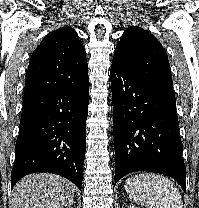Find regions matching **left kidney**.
I'll list each match as a JSON object with an SVG mask.
<instances>
[{
	"label": "left kidney",
	"instance_id": "left-kidney-1",
	"mask_svg": "<svg viewBox=\"0 0 199 208\" xmlns=\"http://www.w3.org/2000/svg\"><path fill=\"white\" fill-rule=\"evenodd\" d=\"M129 208H138V207L132 205V206H130Z\"/></svg>",
	"mask_w": 199,
	"mask_h": 208
}]
</instances>
